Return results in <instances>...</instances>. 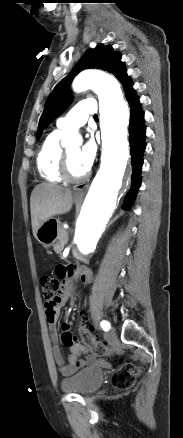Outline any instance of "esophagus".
I'll use <instances>...</instances> for the list:
<instances>
[{
    "label": "esophagus",
    "instance_id": "34e87169",
    "mask_svg": "<svg viewBox=\"0 0 183 438\" xmlns=\"http://www.w3.org/2000/svg\"><path fill=\"white\" fill-rule=\"evenodd\" d=\"M75 193L77 196H82L84 195V190L82 188H78L76 189Z\"/></svg>",
    "mask_w": 183,
    "mask_h": 438
}]
</instances>
